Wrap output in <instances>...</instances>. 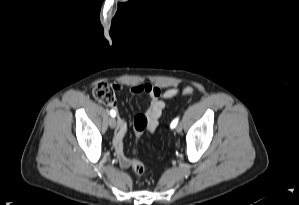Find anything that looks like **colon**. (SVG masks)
<instances>
[{"mask_svg": "<svg viewBox=\"0 0 299 205\" xmlns=\"http://www.w3.org/2000/svg\"><path fill=\"white\" fill-rule=\"evenodd\" d=\"M115 86L107 82H99L93 88V96L97 101L106 105V106H114L116 104V97H115ZM183 95H193L194 89L191 87H185L182 90ZM147 118L143 114H139L135 116L133 121V128L138 138L146 129L147 127ZM131 168L133 173L137 177H142L145 173V167L141 161L137 158H133L131 161Z\"/></svg>", "mask_w": 299, "mask_h": 205, "instance_id": "obj_1", "label": "colon"}]
</instances>
